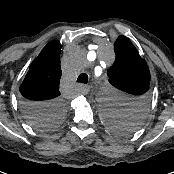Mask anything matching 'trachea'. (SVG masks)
Instances as JSON below:
<instances>
[{
    "label": "trachea",
    "mask_w": 174,
    "mask_h": 174,
    "mask_svg": "<svg viewBox=\"0 0 174 174\" xmlns=\"http://www.w3.org/2000/svg\"><path fill=\"white\" fill-rule=\"evenodd\" d=\"M77 82L87 84V82H88V75L86 73L80 74L78 76V78H77Z\"/></svg>",
    "instance_id": "obj_1"
}]
</instances>
